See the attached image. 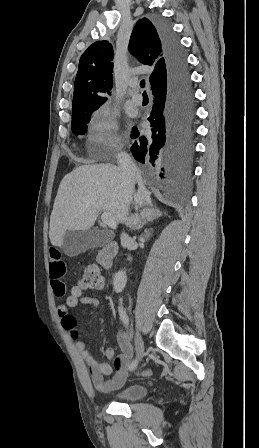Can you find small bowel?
<instances>
[{"mask_svg": "<svg viewBox=\"0 0 259 448\" xmlns=\"http://www.w3.org/2000/svg\"><path fill=\"white\" fill-rule=\"evenodd\" d=\"M65 273L66 266L61 258L59 249L51 246L49 249V274L54 295L58 298L63 297L66 293V284L63 280ZM80 303L96 308L100 305V300L94 296L84 295L78 285H73L70 295L57 308L62 328L73 339L78 337V333L75 319L71 315L70 310L77 307ZM117 342L121 349V353L117 357H115L114 350L111 347H107L104 351L105 357L108 360H113L112 368L109 363L96 360L87 349L85 342L81 340L76 341V349L88 368V383L99 391L109 392L119 389L125 384L128 377L127 370L133 356L132 346L128 336L123 332L118 333ZM151 373L150 370H144L141 372V375L150 376ZM105 376H110V378L105 379Z\"/></svg>", "mask_w": 259, "mask_h": 448, "instance_id": "1", "label": "small bowel"}]
</instances>
